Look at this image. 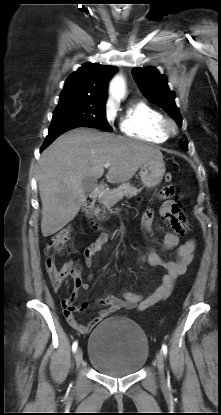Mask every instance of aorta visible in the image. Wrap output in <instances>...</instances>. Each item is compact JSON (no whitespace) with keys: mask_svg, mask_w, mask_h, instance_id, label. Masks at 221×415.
I'll list each match as a JSON object with an SVG mask.
<instances>
[{"mask_svg":"<svg viewBox=\"0 0 221 415\" xmlns=\"http://www.w3.org/2000/svg\"><path fill=\"white\" fill-rule=\"evenodd\" d=\"M110 93L112 97L116 99H121L125 95V83L121 76L117 75L114 77V79L111 81L110 84Z\"/></svg>","mask_w":221,"mask_h":415,"instance_id":"762f6f07","label":"aorta"}]
</instances>
